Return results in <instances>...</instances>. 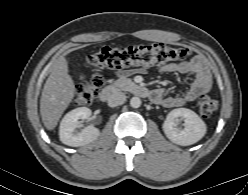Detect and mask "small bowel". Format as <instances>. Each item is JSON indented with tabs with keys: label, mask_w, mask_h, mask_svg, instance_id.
<instances>
[{
	"label": "small bowel",
	"mask_w": 248,
	"mask_h": 195,
	"mask_svg": "<svg viewBox=\"0 0 248 195\" xmlns=\"http://www.w3.org/2000/svg\"><path fill=\"white\" fill-rule=\"evenodd\" d=\"M162 72L179 73L183 75H191L193 81L189 89L181 95L166 96L163 89L153 90L151 95L154 101L166 108L181 107L197 99L202 94L208 92L212 86V76L204 62L200 57H194L191 60L180 62L177 64H168L161 68ZM132 71L120 70L116 72L117 76H127Z\"/></svg>",
	"instance_id": "c3829d8e"
}]
</instances>
